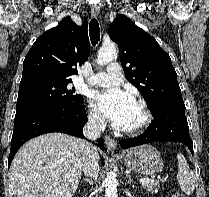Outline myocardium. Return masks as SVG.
<instances>
[{
    "mask_svg": "<svg viewBox=\"0 0 209 197\" xmlns=\"http://www.w3.org/2000/svg\"><path fill=\"white\" fill-rule=\"evenodd\" d=\"M137 104L142 112V119L136 126L132 128L123 129V132L125 134H129V135L140 134L148 128V126L152 121V114L148 109L147 104L141 99L137 101Z\"/></svg>",
    "mask_w": 209,
    "mask_h": 197,
    "instance_id": "f54148a6",
    "label": "myocardium"
}]
</instances>
